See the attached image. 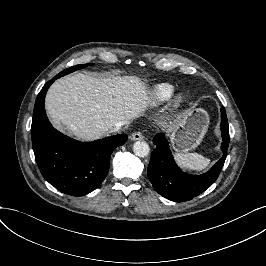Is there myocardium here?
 Returning a JSON list of instances; mask_svg holds the SVG:
<instances>
[{
    "instance_id": "f54148a6",
    "label": "myocardium",
    "mask_w": 266,
    "mask_h": 266,
    "mask_svg": "<svg viewBox=\"0 0 266 266\" xmlns=\"http://www.w3.org/2000/svg\"><path fill=\"white\" fill-rule=\"evenodd\" d=\"M187 105L186 98L183 94L178 93L175 94L169 103V108L173 116H178Z\"/></svg>"
}]
</instances>
